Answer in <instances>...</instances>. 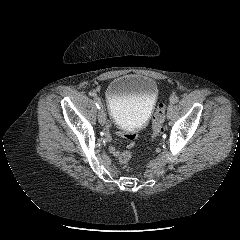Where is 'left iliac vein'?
<instances>
[{"instance_id": "1", "label": "left iliac vein", "mask_w": 240, "mask_h": 240, "mask_svg": "<svg viewBox=\"0 0 240 240\" xmlns=\"http://www.w3.org/2000/svg\"><path fill=\"white\" fill-rule=\"evenodd\" d=\"M173 104L170 103L167 107V119H170L172 117V114H173Z\"/></svg>"}]
</instances>
